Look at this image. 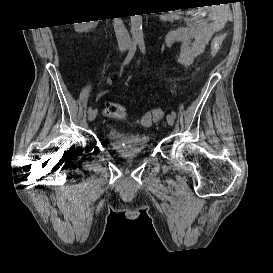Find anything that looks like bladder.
Instances as JSON below:
<instances>
[{"mask_svg": "<svg viewBox=\"0 0 273 273\" xmlns=\"http://www.w3.org/2000/svg\"><path fill=\"white\" fill-rule=\"evenodd\" d=\"M109 148L122 159L141 155L150 145L147 133H130L119 129H109L106 133Z\"/></svg>", "mask_w": 273, "mask_h": 273, "instance_id": "bladder-1", "label": "bladder"}]
</instances>
